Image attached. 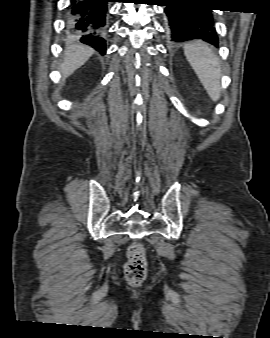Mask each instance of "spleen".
I'll return each mask as SVG.
<instances>
[{
	"label": "spleen",
	"instance_id": "spleen-1",
	"mask_svg": "<svg viewBox=\"0 0 270 338\" xmlns=\"http://www.w3.org/2000/svg\"><path fill=\"white\" fill-rule=\"evenodd\" d=\"M184 54L210 98L218 101L221 96V68L217 55L204 42L186 44Z\"/></svg>",
	"mask_w": 270,
	"mask_h": 338
}]
</instances>
